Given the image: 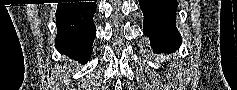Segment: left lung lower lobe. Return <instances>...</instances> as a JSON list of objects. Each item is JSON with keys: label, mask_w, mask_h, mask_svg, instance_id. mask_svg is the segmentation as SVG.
Returning a JSON list of instances; mask_svg holds the SVG:
<instances>
[{"label": "left lung lower lobe", "mask_w": 237, "mask_h": 90, "mask_svg": "<svg viewBox=\"0 0 237 90\" xmlns=\"http://www.w3.org/2000/svg\"><path fill=\"white\" fill-rule=\"evenodd\" d=\"M144 14L143 32L149 37L155 53L173 52L179 48L181 37L175 26L178 2L175 0H140Z\"/></svg>", "instance_id": "0a47b994"}]
</instances>
